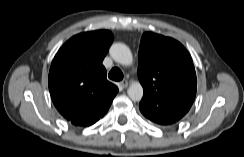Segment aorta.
Here are the masks:
<instances>
[{"label":"aorta","instance_id":"aorta-1","mask_svg":"<svg viewBox=\"0 0 244 157\" xmlns=\"http://www.w3.org/2000/svg\"><path fill=\"white\" fill-rule=\"evenodd\" d=\"M109 53L115 62L122 65H130L133 61L132 53L125 44H113L110 47ZM127 93L131 100L140 101L143 97V87L139 82L135 81L129 86Z\"/></svg>","mask_w":244,"mask_h":157}]
</instances>
